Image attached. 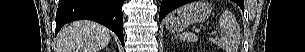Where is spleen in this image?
<instances>
[{
	"label": "spleen",
	"instance_id": "1",
	"mask_svg": "<svg viewBox=\"0 0 305 52\" xmlns=\"http://www.w3.org/2000/svg\"><path fill=\"white\" fill-rule=\"evenodd\" d=\"M219 25L221 29V36L220 40L210 38L209 41L217 44L219 47L224 49L226 52H232L233 50V43L229 39V32L230 29L234 25V19L230 12L224 11L219 19ZM177 38L183 41H190V42H196L198 40V37L191 33V32H184L182 34L176 35Z\"/></svg>",
	"mask_w": 305,
	"mask_h": 52
}]
</instances>
